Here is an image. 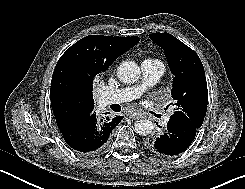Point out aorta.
<instances>
[{
	"label": "aorta",
	"instance_id": "762f6f07",
	"mask_svg": "<svg viewBox=\"0 0 245 189\" xmlns=\"http://www.w3.org/2000/svg\"><path fill=\"white\" fill-rule=\"evenodd\" d=\"M117 77L123 83H134L140 78V67L133 61H124L117 69ZM153 128V122L148 119H142L135 123V132L141 136L151 134Z\"/></svg>",
	"mask_w": 245,
	"mask_h": 189
}]
</instances>
